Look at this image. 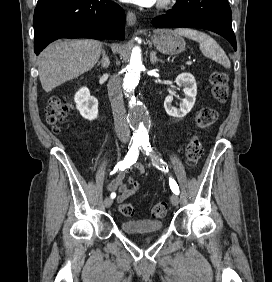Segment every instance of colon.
Wrapping results in <instances>:
<instances>
[{"instance_id":"colon-1","label":"colon","mask_w":272,"mask_h":282,"mask_svg":"<svg viewBox=\"0 0 272 282\" xmlns=\"http://www.w3.org/2000/svg\"><path fill=\"white\" fill-rule=\"evenodd\" d=\"M227 75L222 71H216L212 75L213 94L219 103H223L227 97ZM71 105L69 102L62 100L59 97H54L47 110L49 122L54 125V130H60L64 122L66 114L69 112ZM217 119L215 110L205 107L199 110L196 115V128L201 129L210 126ZM203 154V148L200 140L197 137H192L185 150L186 163L189 167H195L200 161ZM134 178H130L129 182H134ZM167 204L165 202H158L153 206L152 215L155 218H163L167 213ZM120 212L125 216H131L135 210L132 204L122 202L120 204Z\"/></svg>"}]
</instances>
